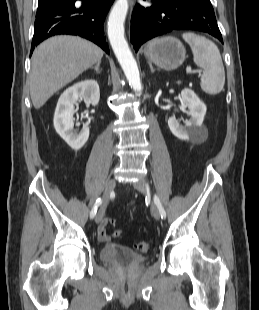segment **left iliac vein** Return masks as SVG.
<instances>
[{
	"instance_id": "1",
	"label": "left iliac vein",
	"mask_w": 259,
	"mask_h": 310,
	"mask_svg": "<svg viewBox=\"0 0 259 310\" xmlns=\"http://www.w3.org/2000/svg\"><path fill=\"white\" fill-rule=\"evenodd\" d=\"M133 186H134V188H135L137 191H139V192H141V193H145V192H146V182H145V180H143V179H141V180L135 182V183L133 184ZM151 210H152V214H153L154 218H155L156 220H160V213H159L157 207H156L155 205H152Z\"/></svg>"
}]
</instances>
